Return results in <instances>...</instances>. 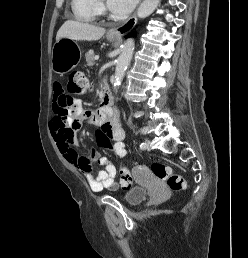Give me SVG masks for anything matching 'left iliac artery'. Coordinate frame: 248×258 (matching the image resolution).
<instances>
[{
	"label": "left iliac artery",
	"mask_w": 248,
	"mask_h": 258,
	"mask_svg": "<svg viewBox=\"0 0 248 258\" xmlns=\"http://www.w3.org/2000/svg\"><path fill=\"white\" fill-rule=\"evenodd\" d=\"M140 148H141V149H144V148H145V143H144V142L140 144Z\"/></svg>",
	"instance_id": "44dca946"
}]
</instances>
